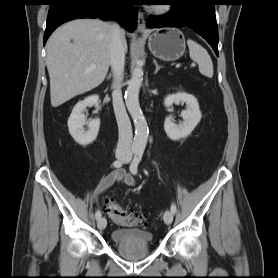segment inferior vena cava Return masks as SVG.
I'll use <instances>...</instances> for the list:
<instances>
[{
  "label": "inferior vena cava",
  "mask_w": 278,
  "mask_h": 278,
  "mask_svg": "<svg viewBox=\"0 0 278 278\" xmlns=\"http://www.w3.org/2000/svg\"><path fill=\"white\" fill-rule=\"evenodd\" d=\"M110 65L113 72V107L119 130V140L116 151L118 153L130 155L133 135L120 88L125 65V49L118 25L113 27V36L110 47Z\"/></svg>",
  "instance_id": "inferior-vena-cava-1"
}]
</instances>
